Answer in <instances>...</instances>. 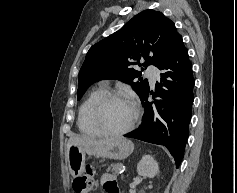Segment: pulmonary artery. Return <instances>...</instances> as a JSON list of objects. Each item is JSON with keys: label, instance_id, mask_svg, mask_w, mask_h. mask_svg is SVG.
I'll list each match as a JSON object with an SVG mask.
<instances>
[{"label": "pulmonary artery", "instance_id": "obj_1", "mask_svg": "<svg viewBox=\"0 0 237 193\" xmlns=\"http://www.w3.org/2000/svg\"><path fill=\"white\" fill-rule=\"evenodd\" d=\"M146 75L149 77L151 85H154L156 81L157 68L153 65L148 66L146 69Z\"/></svg>", "mask_w": 237, "mask_h": 193}]
</instances>
